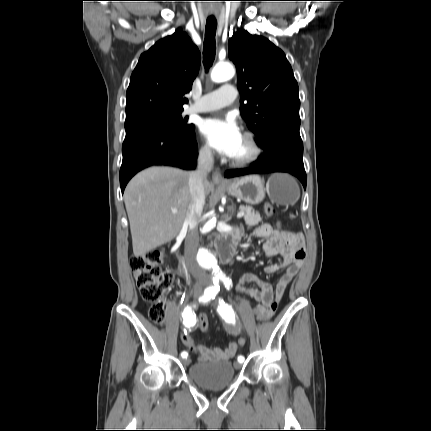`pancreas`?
<instances>
[{"instance_id":"obj_1","label":"pancreas","mask_w":431,"mask_h":431,"mask_svg":"<svg viewBox=\"0 0 431 431\" xmlns=\"http://www.w3.org/2000/svg\"><path fill=\"white\" fill-rule=\"evenodd\" d=\"M240 211H244V220L248 226H255L258 225L259 222L262 221V218L260 217V214L258 212H255V210L250 206H240Z\"/></svg>"}]
</instances>
